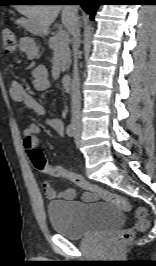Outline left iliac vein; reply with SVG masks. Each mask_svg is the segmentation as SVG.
Returning <instances> with one entry per match:
<instances>
[{
	"mask_svg": "<svg viewBox=\"0 0 156 266\" xmlns=\"http://www.w3.org/2000/svg\"><path fill=\"white\" fill-rule=\"evenodd\" d=\"M80 132H81V129L78 128L76 131V135H75V143L77 146H79V144H80Z\"/></svg>",
	"mask_w": 156,
	"mask_h": 266,
	"instance_id": "4c4485c4",
	"label": "left iliac vein"
}]
</instances>
